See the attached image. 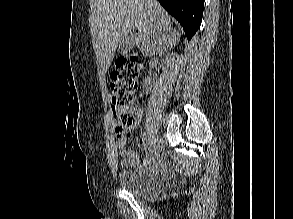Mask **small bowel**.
I'll use <instances>...</instances> for the list:
<instances>
[{"instance_id": "1", "label": "small bowel", "mask_w": 293, "mask_h": 219, "mask_svg": "<svg viewBox=\"0 0 293 219\" xmlns=\"http://www.w3.org/2000/svg\"><path fill=\"white\" fill-rule=\"evenodd\" d=\"M112 111L115 117H117L118 116L117 108L115 106H112ZM142 118H143V109L139 107L136 112L135 121L133 122L132 125L123 129H121L118 126V123H116L115 125L118 152H119V156L121 157V165L123 167H133L139 164L135 151L127 150L126 143H127L128 137L131 134V131L141 123ZM145 138H146V135L141 136V139L139 141V146H142L144 144Z\"/></svg>"}]
</instances>
